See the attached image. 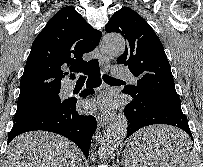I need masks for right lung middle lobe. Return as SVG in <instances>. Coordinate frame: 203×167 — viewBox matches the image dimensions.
Here are the masks:
<instances>
[{
	"label": "right lung middle lobe",
	"mask_w": 203,
	"mask_h": 167,
	"mask_svg": "<svg viewBox=\"0 0 203 167\" xmlns=\"http://www.w3.org/2000/svg\"><path fill=\"white\" fill-rule=\"evenodd\" d=\"M64 102L65 100H61L58 93H54L28 104L19 105L17 106V111L14 115V122L34 113L59 107Z\"/></svg>",
	"instance_id": "obj_1"
}]
</instances>
